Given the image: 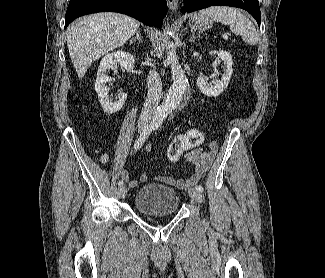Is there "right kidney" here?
<instances>
[{
  "instance_id": "obj_1",
  "label": "right kidney",
  "mask_w": 325,
  "mask_h": 278,
  "mask_svg": "<svg viewBox=\"0 0 325 278\" xmlns=\"http://www.w3.org/2000/svg\"><path fill=\"white\" fill-rule=\"evenodd\" d=\"M134 56L126 51H116L105 55L100 61L95 82V91L98 94L99 102L103 110L108 114L118 112L124 105L127 94L123 93L119 96L118 101L112 102L109 99L108 92L110 90L106 83L110 82V78L105 74L106 70L118 63L126 70L134 67Z\"/></svg>"
}]
</instances>
